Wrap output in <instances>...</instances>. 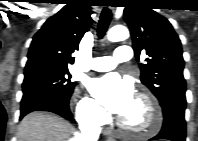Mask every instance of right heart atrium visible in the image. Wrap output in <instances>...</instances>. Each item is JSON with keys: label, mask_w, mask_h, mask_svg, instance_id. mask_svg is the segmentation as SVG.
Instances as JSON below:
<instances>
[{"label": "right heart atrium", "mask_w": 198, "mask_h": 141, "mask_svg": "<svg viewBox=\"0 0 198 141\" xmlns=\"http://www.w3.org/2000/svg\"><path fill=\"white\" fill-rule=\"evenodd\" d=\"M76 117L79 122L86 124H103L107 115L104 110L90 97L75 99Z\"/></svg>", "instance_id": "d8ad5b80"}]
</instances>
